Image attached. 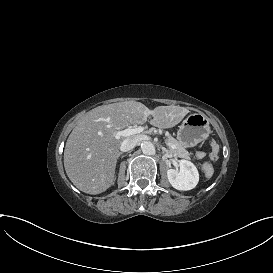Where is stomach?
I'll list each match as a JSON object with an SVG mask.
<instances>
[{
    "label": "stomach",
    "mask_w": 273,
    "mask_h": 273,
    "mask_svg": "<svg viewBox=\"0 0 273 273\" xmlns=\"http://www.w3.org/2000/svg\"><path fill=\"white\" fill-rule=\"evenodd\" d=\"M211 133L209 119L202 113L188 115L177 131L178 143L188 149L205 141Z\"/></svg>",
    "instance_id": "stomach-1"
}]
</instances>
